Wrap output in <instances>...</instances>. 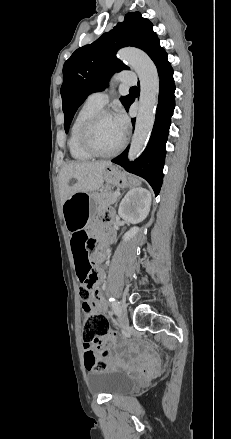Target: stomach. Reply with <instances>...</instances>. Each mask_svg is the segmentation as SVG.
Here are the masks:
<instances>
[{
    "label": "stomach",
    "mask_w": 231,
    "mask_h": 439,
    "mask_svg": "<svg viewBox=\"0 0 231 439\" xmlns=\"http://www.w3.org/2000/svg\"><path fill=\"white\" fill-rule=\"evenodd\" d=\"M103 178L108 185L117 187L135 186L139 183L136 177L126 175L112 165L104 170ZM95 198L96 195L91 192H76L63 203L62 214L70 231L82 228L88 217L96 211Z\"/></svg>",
    "instance_id": "0dacf381"
}]
</instances>
